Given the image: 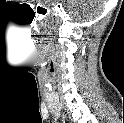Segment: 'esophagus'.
<instances>
[{"label": "esophagus", "mask_w": 124, "mask_h": 123, "mask_svg": "<svg viewBox=\"0 0 124 123\" xmlns=\"http://www.w3.org/2000/svg\"><path fill=\"white\" fill-rule=\"evenodd\" d=\"M63 123H69L68 119L65 116H63Z\"/></svg>", "instance_id": "esophagus-1"}]
</instances>
